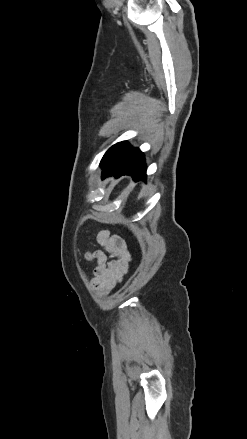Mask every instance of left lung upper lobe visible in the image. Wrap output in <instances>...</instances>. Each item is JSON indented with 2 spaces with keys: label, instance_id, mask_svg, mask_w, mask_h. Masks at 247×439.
<instances>
[{
  "label": "left lung upper lobe",
  "instance_id": "1",
  "mask_svg": "<svg viewBox=\"0 0 247 439\" xmlns=\"http://www.w3.org/2000/svg\"><path fill=\"white\" fill-rule=\"evenodd\" d=\"M131 150L132 147L126 141L119 142L108 149L100 164L113 170L122 169L127 163Z\"/></svg>",
  "mask_w": 247,
  "mask_h": 439
}]
</instances>
